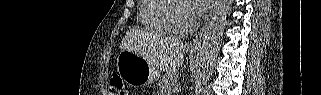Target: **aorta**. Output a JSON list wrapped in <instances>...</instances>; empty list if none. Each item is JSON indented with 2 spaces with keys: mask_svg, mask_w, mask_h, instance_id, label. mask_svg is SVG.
Masks as SVG:
<instances>
[{
  "mask_svg": "<svg viewBox=\"0 0 321 95\" xmlns=\"http://www.w3.org/2000/svg\"><path fill=\"white\" fill-rule=\"evenodd\" d=\"M232 0H216L213 16L206 29L195 73L194 94L200 95L207 84L217 57Z\"/></svg>",
  "mask_w": 321,
  "mask_h": 95,
  "instance_id": "aorta-1",
  "label": "aorta"
}]
</instances>
